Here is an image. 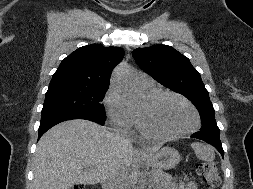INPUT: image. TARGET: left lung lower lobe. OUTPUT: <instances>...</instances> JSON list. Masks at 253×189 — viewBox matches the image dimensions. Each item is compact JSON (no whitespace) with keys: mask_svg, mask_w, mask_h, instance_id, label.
I'll list each match as a JSON object with an SVG mask.
<instances>
[{"mask_svg":"<svg viewBox=\"0 0 253 189\" xmlns=\"http://www.w3.org/2000/svg\"><path fill=\"white\" fill-rule=\"evenodd\" d=\"M191 137L203 140V141L213 145L219 151V153L222 155V157H224V150H223L221 142H220L219 131L200 130V131L192 134Z\"/></svg>","mask_w":253,"mask_h":189,"instance_id":"1","label":"left lung lower lobe"}]
</instances>
